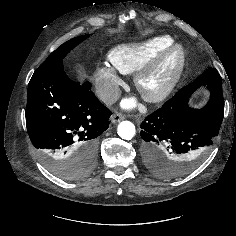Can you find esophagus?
Instances as JSON below:
<instances>
[{
  "label": "esophagus",
  "mask_w": 236,
  "mask_h": 236,
  "mask_svg": "<svg viewBox=\"0 0 236 236\" xmlns=\"http://www.w3.org/2000/svg\"><path fill=\"white\" fill-rule=\"evenodd\" d=\"M124 118H125L124 115L117 113V114L112 115L111 121H112V123H118L121 120H123Z\"/></svg>",
  "instance_id": "esophagus-1"
}]
</instances>
